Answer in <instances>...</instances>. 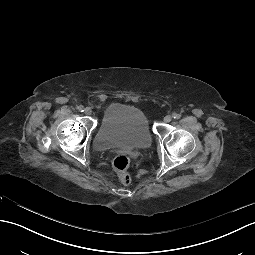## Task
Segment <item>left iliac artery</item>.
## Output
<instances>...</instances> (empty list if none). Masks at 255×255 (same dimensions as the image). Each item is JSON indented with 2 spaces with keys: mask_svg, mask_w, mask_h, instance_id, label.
I'll return each instance as SVG.
<instances>
[{
  "mask_svg": "<svg viewBox=\"0 0 255 255\" xmlns=\"http://www.w3.org/2000/svg\"><path fill=\"white\" fill-rule=\"evenodd\" d=\"M172 117H173L174 119H179V118L181 117V115L178 114V113H173Z\"/></svg>",
  "mask_w": 255,
  "mask_h": 255,
  "instance_id": "left-iliac-artery-1",
  "label": "left iliac artery"
}]
</instances>
